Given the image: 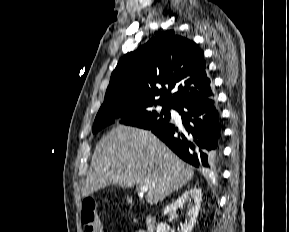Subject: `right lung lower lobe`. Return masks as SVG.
Here are the masks:
<instances>
[{"instance_id": "right-lung-lower-lobe-1", "label": "right lung lower lobe", "mask_w": 289, "mask_h": 232, "mask_svg": "<svg viewBox=\"0 0 289 232\" xmlns=\"http://www.w3.org/2000/svg\"><path fill=\"white\" fill-rule=\"evenodd\" d=\"M184 130L171 123L150 129L181 159L197 168H218L222 161V129L214 96L185 101L174 108Z\"/></svg>"}]
</instances>
